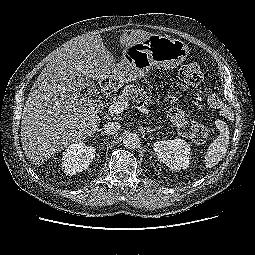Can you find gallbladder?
Returning a JSON list of instances; mask_svg holds the SVG:
<instances>
[{
  "mask_svg": "<svg viewBox=\"0 0 255 255\" xmlns=\"http://www.w3.org/2000/svg\"><path fill=\"white\" fill-rule=\"evenodd\" d=\"M77 82V87L84 96L90 99L97 97L98 92L92 79H86L83 75H79L77 76Z\"/></svg>",
  "mask_w": 255,
  "mask_h": 255,
  "instance_id": "1",
  "label": "gallbladder"
}]
</instances>
